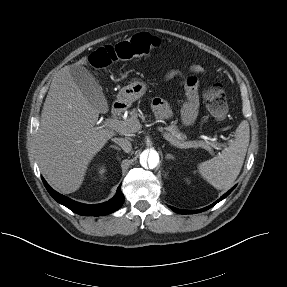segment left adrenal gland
<instances>
[{"label": "left adrenal gland", "mask_w": 287, "mask_h": 287, "mask_svg": "<svg viewBox=\"0 0 287 287\" xmlns=\"http://www.w3.org/2000/svg\"><path fill=\"white\" fill-rule=\"evenodd\" d=\"M166 159H174V156L172 154H167L165 156Z\"/></svg>", "instance_id": "obj_1"}]
</instances>
